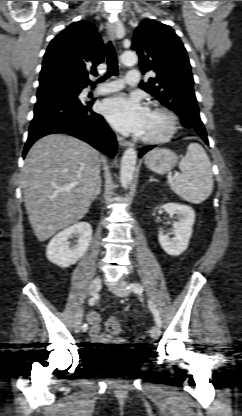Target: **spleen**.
<instances>
[{
	"label": "spleen",
	"mask_w": 242,
	"mask_h": 416,
	"mask_svg": "<svg viewBox=\"0 0 242 416\" xmlns=\"http://www.w3.org/2000/svg\"><path fill=\"white\" fill-rule=\"evenodd\" d=\"M179 168L181 174L170 183L171 190L190 203L205 201L213 189V174L204 148L198 143L189 144Z\"/></svg>",
	"instance_id": "obj_1"
}]
</instances>
